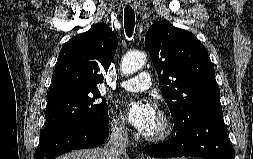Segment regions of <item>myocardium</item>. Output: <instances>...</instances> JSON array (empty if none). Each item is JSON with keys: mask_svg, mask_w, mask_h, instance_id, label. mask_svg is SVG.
Masks as SVG:
<instances>
[{"mask_svg": "<svg viewBox=\"0 0 253 159\" xmlns=\"http://www.w3.org/2000/svg\"><path fill=\"white\" fill-rule=\"evenodd\" d=\"M160 128L157 132L146 134L144 138L151 142H162L168 139L174 132V124L171 117L164 111L158 112Z\"/></svg>", "mask_w": 253, "mask_h": 159, "instance_id": "f54148a6", "label": "myocardium"}]
</instances>
